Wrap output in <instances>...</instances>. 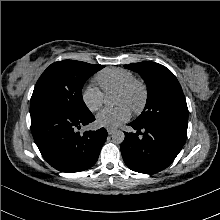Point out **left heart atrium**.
Returning a JSON list of instances; mask_svg holds the SVG:
<instances>
[{
	"label": "left heart atrium",
	"mask_w": 220,
	"mask_h": 220,
	"mask_svg": "<svg viewBox=\"0 0 220 220\" xmlns=\"http://www.w3.org/2000/svg\"><path fill=\"white\" fill-rule=\"evenodd\" d=\"M131 116V110L126 105H119L115 108H108L102 110L96 116V123L98 126L115 128L126 122Z\"/></svg>",
	"instance_id": "left-heart-atrium-1"
}]
</instances>
